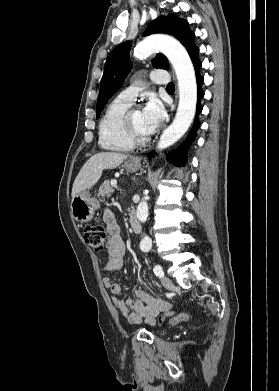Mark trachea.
I'll return each instance as SVG.
<instances>
[{
    "label": "trachea",
    "instance_id": "trachea-1",
    "mask_svg": "<svg viewBox=\"0 0 279 391\" xmlns=\"http://www.w3.org/2000/svg\"><path fill=\"white\" fill-rule=\"evenodd\" d=\"M166 88H167V89H174V84H173V82H170V83L167 85Z\"/></svg>",
    "mask_w": 279,
    "mask_h": 391
}]
</instances>
